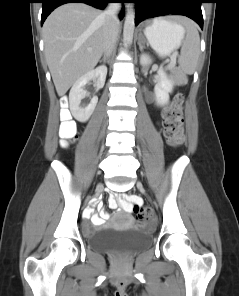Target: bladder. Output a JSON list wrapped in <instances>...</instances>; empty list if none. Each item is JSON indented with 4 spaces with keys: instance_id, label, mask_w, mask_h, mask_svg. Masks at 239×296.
Segmentation results:
<instances>
[{
    "instance_id": "31cf9c89",
    "label": "bladder",
    "mask_w": 239,
    "mask_h": 296,
    "mask_svg": "<svg viewBox=\"0 0 239 296\" xmlns=\"http://www.w3.org/2000/svg\"><path fill=\"white\" fill-rule=\"evenodd\" d=\"M87 241L93 249L102 252L136 253L151 245L152 235L137 226L126 229L102 227L88 235Z\"/></svg>"
}]
</instances>
